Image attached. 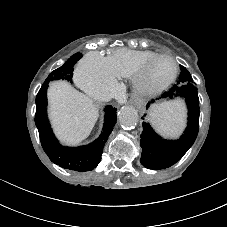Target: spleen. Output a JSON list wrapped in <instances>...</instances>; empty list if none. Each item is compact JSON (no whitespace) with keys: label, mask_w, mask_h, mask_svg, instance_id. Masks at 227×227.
<instances>
[{"label":"spleen","mask_w":227,"mask_h":227,"mask_svg":"<svg viewBox=\"0 0 227 227\" xmlns=\"http://www.w3.org/2000/svg\"><path fill=\"white\" fill-rule=\"evenodd\" d=\"M153 127L165 137H178L184 127V111L180 104L154 106L150 111Z\"/></svg>","instance_id":"spleen-1"}]
</instances>
